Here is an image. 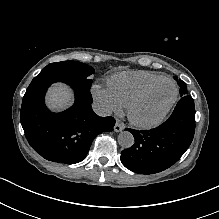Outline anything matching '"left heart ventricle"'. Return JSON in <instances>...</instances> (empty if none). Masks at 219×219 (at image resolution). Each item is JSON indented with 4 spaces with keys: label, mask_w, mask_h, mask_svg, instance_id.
<instances>
[{
    "label": "left heart ventricle",
    "mask_w": 219,
    "mask_h": 219,
    "mask_svg": "<svg viewBox=\"0 0 219 219\" xmlns=\"http://www.w3.org/2000/svg\"><path fill=\"white\" fill-rule=\"evenodd\" d=\"M174 95L171 82H160L135 110V115L141 119H152L162 110Z\"/></svg>",
    "instance_id": "obj_1"
}]
</instances>
